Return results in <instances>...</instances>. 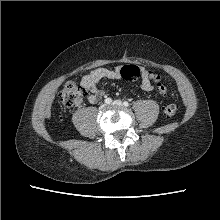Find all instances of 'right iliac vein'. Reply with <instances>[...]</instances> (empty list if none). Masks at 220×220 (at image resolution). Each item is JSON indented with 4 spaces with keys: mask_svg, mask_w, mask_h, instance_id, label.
<instances>
[{
    "mask_svg": "<svg viewBox=\"0 0 220 220\" xmlns=\"http://www.w3.org/2000/svg\"><path fill=\"white\" fill-rule=\"evenodd\" d=\"M105 107H106V104H103V103H102V104L100 105V108H101V109H104Z\"/></svg>",
    "mask_w": 220,
    "mask_h": 220,
    "instance_id": "right-iliac-vein-1",
    "label": "right iliac vein"
}]
</instances>
